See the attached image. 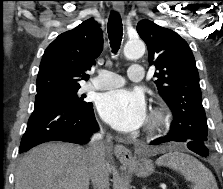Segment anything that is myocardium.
<instances>
[{
	"instance_id": "f54148a6",
	"label": "myocardium",
	"mask_w": 223,
	"mask_h": 189,
	"mask_svg": "<svg viewBox=\"0 0 223 189\" xmlns=\"http://www.w3.org/2000/svg\"><path fill=\"white\" fill-rule=\"evenodd\" d=\"M169 123V115L162 108H153L150 112L146 130L152 134L161 131Z\"/></svg>"
}]
</instances>
